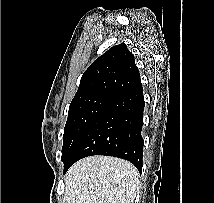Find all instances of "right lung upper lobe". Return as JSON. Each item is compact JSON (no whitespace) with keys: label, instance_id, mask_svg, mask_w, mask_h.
I'll list each match as a JSON object with an SVG mask.
<instances>
[{"label":"right lung upper lobe","instance_id":"1","mask_svg":"<svg viewBox=\"0 0 214 203\" xmlns=\"http://www.w3.org/2000/svg\"><path fill=\"white\" fill-rule=\"evenodd\" d=\"M141 84L133 54L126 44L111 47L84 72L73 100L91 95L114 98Z\"/></svg>","mask_w":214,"mask_h":203}]
</instances>
